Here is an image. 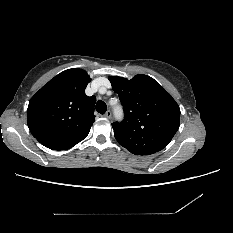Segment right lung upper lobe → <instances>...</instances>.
Listing matches in <instances>:
<instances>
[{
    "instance_id": "cb5924a9",
    "label": "right lung upper lobe",
    "mask_w": 233,
    "mask_h": 233,
    "mask_svg": "<svg viewBox=\"0 0 233 233\" xmlns=\"http://www.w3.org/2000/svg\"><path fill=\"white\" fill-rule=\"evenodd\" d=\"M86 71L69 69L44 85L30 100L27 123L32 135L45 147L65 150L82 141L94 123L95 96L85 88Z\"/></svg>"
}]
</instances>
